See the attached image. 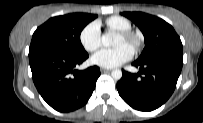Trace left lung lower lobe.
Returning a JSON list of instances; mask_svg holds the SVG:
<instances>
[{
  "label": "left lung lower lobe",
  "mask_w": 203,
  "mask_h": 123,
  "mask_svg": "<svg viewBox=\"0 0 203 123\" xmlns=\"http://www.w3.org/2000/svg\"><path fill=\"white\" fill-rule=\"evenodd\" d=\"M137 74L122 71L117 83L121 98L139 111H152L172 95L183 65V53H169L143 61L136 60ZM142 75V76H141Z\"/></svg>",
  "instance_id": "obj_1"
}]
</instances>
